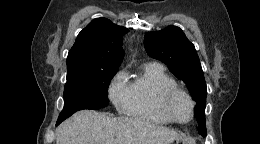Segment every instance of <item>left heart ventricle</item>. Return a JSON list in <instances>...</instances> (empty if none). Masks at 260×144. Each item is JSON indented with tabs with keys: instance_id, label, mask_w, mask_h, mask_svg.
Masks as SVG:
<instances>
[{
	"instance_id": "left-heart-ventricle-1",
	"label": "left heart ventricle",
	"mask_w": 260,
	"mask_h": 144,
	"mask_svg": "<svg viewBox=\"0 0 260 144\" xmlns=\"http://www.w3.org/2000/svg\"><path fill=\"white\" fill-rule=\"evenodd\" d=\"M173 114L180 120H188L191 114L189 101L182 95L176 96L171 102Z\"/></svg>"
}]
</instances>
